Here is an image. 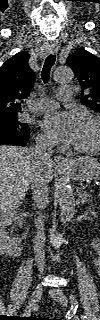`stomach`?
Masks as SVG:
<instances>
[{
  "mask_svg": "<svg viewBox=\"0 0 100 320\" xmlns=\"http://www.w3.org/2000/svg\"><path fill=\"white\" fill-rule=\"evenodd\" d=\"M65 172L77 181L96 180L100 176V162L90 156L79 157L69 162Z\"/></svg>",
  "mask_w": 100,
  "mask_h": 320,
  "instance_id": "1",
  "label": "stomach"
}]
</instances>
